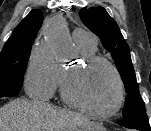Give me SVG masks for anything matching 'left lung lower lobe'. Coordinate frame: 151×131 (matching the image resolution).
<instances>
[{
	"instance_id": "1",
	"label": "left lung lower lobe",
	"mask_w": 151,
	"mask_h": 131,
	"mask_svg": "<svg viewBox=\"0 0 151 131\" xmlns=\"http://www.w3.org/2000/svg\"><path fill=\"white\" fill-rule=\"evenodd\" d=\"M117 124L127 128L137 129L139 131H151L146 112L125 117L118 121Z\"/></svg>"
}]
</instances>
